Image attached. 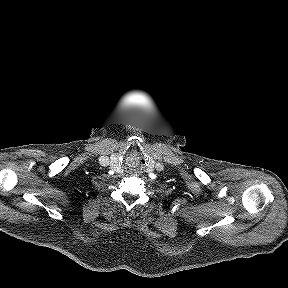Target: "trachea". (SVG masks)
<instances>
[{"instance_id":"trachea-1","label":"trachea","mask_w":288,"mask_h":288,"mask_svg":"<svg viewBox=\"0 0 288 288\" xmlns=\"http://www.w3.org/2000/svg\"><path fill=\"white\" fill-rule=\"evenodd\" d=\"M139 160H140L139 155L135 152H130L126 158V162L130 166L136 165L139 162Z\"/></svg>"}]
</instances>
